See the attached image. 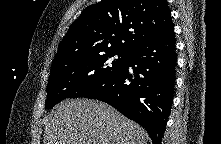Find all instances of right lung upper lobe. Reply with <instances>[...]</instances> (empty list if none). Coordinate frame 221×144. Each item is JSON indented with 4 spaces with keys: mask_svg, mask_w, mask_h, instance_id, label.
Wrapping results in <instances>:
<instances>
[{
    "mask_svg": "<svg viewBox=\"0 0 221 144\" xmlns=\"http://www.w3.org/2000/svg\"><path fill=\"white\" fill-rule=\"evenodd\" d=\"M166 0H102L70 26L52 68L106 52L129 53L172 26Z\"/></svg>",
    "mask_w": 221,
    "mask_h": 144,
    "instance_id": "right-lung-upper-lobe-1",
    "label": "right lung upper lobe"
}]
</instances>
